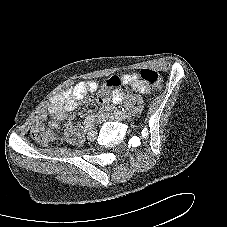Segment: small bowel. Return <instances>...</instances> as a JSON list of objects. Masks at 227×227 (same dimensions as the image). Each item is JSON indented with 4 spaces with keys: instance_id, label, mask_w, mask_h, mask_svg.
Here are the masks:
<instances>
[{
    "instance_id": "c3829d8e",
    "label": "small bowel",
    "mask_w": 227,
    "mask_h": 227,
    "mask_svg": "<svg viewBox=\"0 0 227 227\" xmlns=\"http://www.w3.org/2000/svg\"><path fill=\"white\" fill-rule=\"evenodd\" d=\"M122 84L129 86L133 91L140 94L149 92V87L140 80L136 73L123 74ZM97 88L98 84L96 81H82L54 96L50 100V106L48 108V112L51 115L49 126L52 129H56L62 120L68 118L69 112L74 109L76 103L82 100L87 94L95 92ZM123 96V89L121 87L115 88L110 95L104 93L100 103L102 106H106L109 102L117 104L122 101ZM45 117V112L42 110L36 114L32 131L42 128V122Z\"/></svg>"
}]
</instances>
